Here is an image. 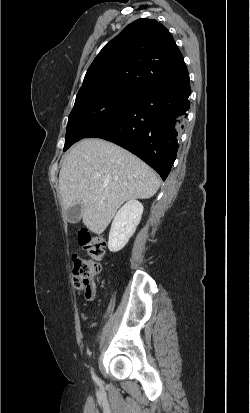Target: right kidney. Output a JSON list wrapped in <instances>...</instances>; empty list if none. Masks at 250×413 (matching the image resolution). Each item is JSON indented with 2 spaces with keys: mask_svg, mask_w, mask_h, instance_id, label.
Instances as JSON below:
<instances>
[{
  "mask_svg": "<svg viewBox=\"0 0 250 413\" xmlns=\"http://www.w3.org/2000/svg\"><path fill=\"white\" fill-rule=\"evenodd\" d=\"M143 213V205L135 200L126 202L117 212L109 232L108 248L120 251L134 234Z\"/></svg>",
  "mask_w": 250,
  "mask_h": 413,
  "instance_id": "obj_1",
  "label": "right kidney"
}]
</instances>
